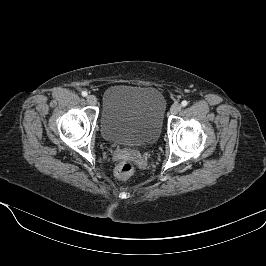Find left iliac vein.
Wrapping results in <instances>:
<instances>
[{"instance_id": "left-iliac-vein-1", "label": "left iliac vein", "mask_w": 266, "mask_h": 266, "mask_svg": "<svg viewBox=\"0 0 266 266\" xmlns=\"http://www.w3.org/2000/svg\"><path fill=\"white\" fill-rule=\"evenodd\" d=\"M181 108H182L181 104H179V103H174V104L171 106L170 112H171L173 115H176L177 113L180 112Z\"/></svg>"}]
</instances>
